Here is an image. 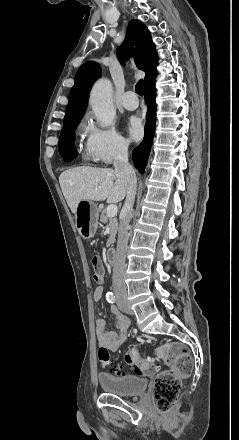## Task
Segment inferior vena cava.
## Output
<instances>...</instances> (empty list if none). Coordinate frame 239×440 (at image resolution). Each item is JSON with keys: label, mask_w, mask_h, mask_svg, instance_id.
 I'll return each instance as SVG.
<instances>
[{"label": "inferior vena cava", "mask_w": 239, "mask_h": 440, "mask_svg": "<svg viewBox=\"0 0 239 440\" xmlns=\"http://www.w3.org/2000/svg\"><path fill=\"white\" fill-rule=\"evenodd\" d=\"M129 140H121L114 160L115 172L119 174L126 186V200L120 214L118 242L113 264V292L116 294L117 307H132L128 302L124 272L126 270V252L128 248V226L132 218L133 204L136 196V174L128 162Z\"/></svg>", "instance_id": "obj_1"}]
</instances>
